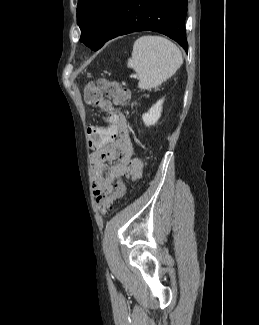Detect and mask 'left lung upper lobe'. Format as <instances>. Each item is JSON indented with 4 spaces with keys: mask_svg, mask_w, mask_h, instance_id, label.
I'll return each instance as SVG.
<instances>
[{
    "mask_svg": "<svg viewBox=\"0 0 259 325\" xmlns=\"http://www.w3.org/2000/svg\"><path fill=\"white\" fill-rule=\"evenodd\" d=\"M122 0H78L80 41L96 51L103 42Z\"/></svg>",
    "mask_w": 259,
    "mask_h": 325,
    "instance_id": "obj_1",
    "label": "left lung upper lobe"
}]
</instances>
